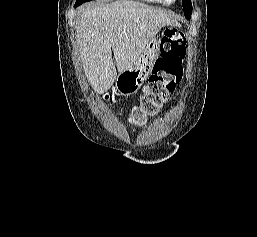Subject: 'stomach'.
I'll return each instance as SVG.
<instances>
[{
  "label": "stomach",
  "instance_id": "obj_1",
  "mask_svg": "<svg viewBox=\"0 0 257 237\" xmlns=\"http://www.w3.org/2000/svg\"><path fill=\"white\" fill-rule=\"evenodd\" d=\"M159 56V38L153 37L147 43L134 66L121 72L116 79V88L123 95L135 94L150 75Z\"/></svg>",
  "mask_w": 257,
  "mask_h": 237
}]
</instances>
